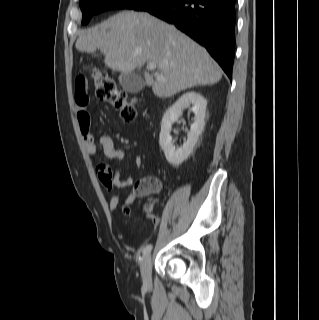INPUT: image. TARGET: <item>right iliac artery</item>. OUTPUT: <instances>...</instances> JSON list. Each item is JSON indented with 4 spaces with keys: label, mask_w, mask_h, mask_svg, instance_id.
Returning <instances> with one entry per match:
<instances>
[{
    "label": "right iliac artery",
    "mask_w": 319,
    "mask_h": 320,
    "mask_svg": "<svg viewBox=\"0 0 319 320\" xmlns=\"http://www.w3.org/2000/svg\"><path fill=\"white\" fill-rule=\"evenodd\" d=\"M151 250H152V245L151 244L146 245L143 249V255L145 256V255L149 254L151 252Z\"/></svg>",
    "instance_id": "obj_1"
}]
</instances>
